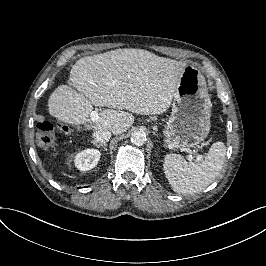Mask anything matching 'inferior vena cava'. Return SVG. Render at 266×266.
<instances>
[{"instance_id":"inferior-vena-cava-1","label":"inferior vena cava","mask_w":266,"mask_h":266,"mask_svg":"<svg viewBox=\"0 0 266 266\" xmlns=\"http://www.w3.org/2000/svg\"><path fill=\"white\" fill-rule=\"evenodd\" d=\"M92 136L97 142L106 143L110 140L111 133L108 130H95Z\"/></svg>"}]
</instances>
